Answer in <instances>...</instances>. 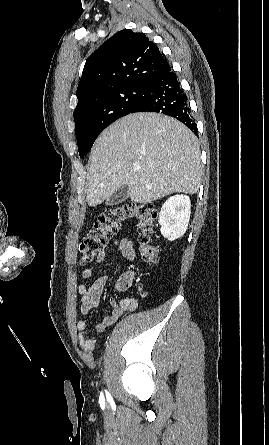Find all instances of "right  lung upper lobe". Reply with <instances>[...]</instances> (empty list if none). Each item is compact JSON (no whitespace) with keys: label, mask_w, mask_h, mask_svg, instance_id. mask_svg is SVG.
<instances>
[{"label":"right lung upper lobe","mask_w":269,"mask_h":445,"mask_svg":"<svg viewBox=\"0 0 269 445\" xmlns=\"http://www.w3.org/2000/svg\"><path fill=\"white\" fill-rule=\"evenodd\" d=\"M168 65L143 33L121 30L87 60L76 95L79 109L88 100L127 85L149 84Z\"/></svg>","instance_id":"right-lung-upper-lobe-1"}]
</instances>
